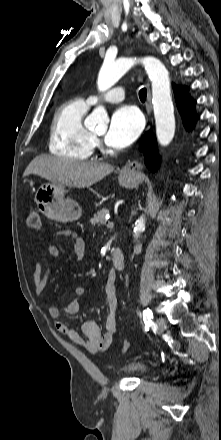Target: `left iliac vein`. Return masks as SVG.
Here are the masks:
<instances>
[{"label": "left iliac vein", "mask_w": 221, "mask_h": 440, "mask_svg": "<svg viewBox=\"0 0 221 440\" xmlns=\"http://www.w3.org/2000/svg\"><path fill=\"white\" fill-rule=\"evenodd\" d=\"M165 325L166 322L164 318L160 317L156 320V326L159 333H162L164 331Z\"/></svg>", "instance_id": "1"}]
</instances>
